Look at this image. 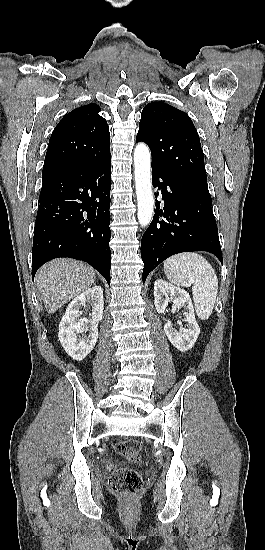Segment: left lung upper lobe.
I'll list each match as a JSON object with an SVG mask.
<instances>
[{
    "label": "left lung upper lobe",
    "mask_w": 265,
    "mask_h": 550,
    "mask_svg": "<svg viewBox=\"0 0 265 550\" xmlns=\"http://www.w3.org/2000/svg\"><path fill=\"white\" fill-rule=\"evenodd\" d=\"M136 141L148 144L152 164L210 195L200 138L186 113L164 102L147 104Z\"/></svg>",
    "instance_id": "left-lung-upper-lobe-1"
}]
</instances>
